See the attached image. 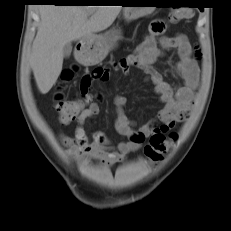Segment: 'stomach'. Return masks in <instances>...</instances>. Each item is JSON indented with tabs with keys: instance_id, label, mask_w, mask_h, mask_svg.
<instances>
[{
	"instance_id": "1",
	"label": "stomach",
	"mask_w": 231,
	"mask_h": 231,
	"mask_svg": "<svg viewBox=\"0 0 231 231\" xmlns=\"http://www.w3.org/2000/svg\"><path fill=\"white\" fill-rule=\"evenodd\" d=\"M131 4H154L151 0H132ZM155 7H125L124 18L127 21L136 20L140 17L151 14ZM119 30H110L102 35H91L83 39L81 49L77 51V59L85 65H95L100 63L116 46L120 39Z\"/></svg>"
}]
</instances>
